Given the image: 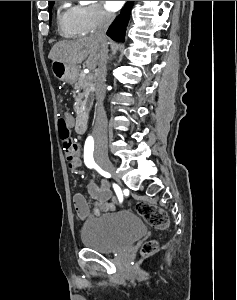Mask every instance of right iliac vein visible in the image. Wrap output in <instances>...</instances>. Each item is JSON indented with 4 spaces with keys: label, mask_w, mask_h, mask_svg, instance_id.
Wrapping results in <instances>:
<instances>
[{
    "label": "right iliac vein",
    "mask_w": 237,
    "mask_h": 300,
    "mask_svg": "<svg viewBox=\"0 0 237 300\" xmlns=\"http://www.w3.org/2000/svg\"><path fill=\"white\" fill-rule=\"evenodd\" d=\"M95 158L101 167L110 172L112 175L116 176L115 166L110 161L105 147L96 148Z\"/></svg>",
    "instance_id": "1"
}]
</instances>
